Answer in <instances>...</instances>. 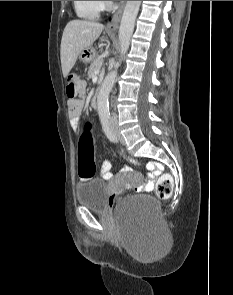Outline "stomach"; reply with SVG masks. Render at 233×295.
Instances as JSON below:
<instances>
[{"instance_id":"stomach-1","label":"stomach","mask_w":233,"mask_h":295,"mask_svg":"<svg viewBox=\"0 0 233 295\" xmlns=\"http://www.w3.org/2000/svg\"><path fill=\"white\" fill-rule=\"evenodd\" d=\"M95 55L91 48L83 49L79 54V59L84 63H89L94 59Z\"/></svg>"}]
</instances>
